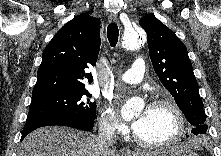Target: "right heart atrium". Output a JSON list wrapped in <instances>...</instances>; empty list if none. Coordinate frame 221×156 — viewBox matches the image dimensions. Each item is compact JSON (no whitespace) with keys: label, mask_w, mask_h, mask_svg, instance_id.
I'll return each mask as SVG.
<instances>
[{"label":"right heart atrium","mask_w":221,"mask_h":156,"mask_svg":"<svg viewBox=\"0 0 221 156\" xmlns=\"http://www.w3.org/2000/svg\"><path fill=\"white\" fill-rule=\"evenodd\" d=\"M99 128L103 134L108 136H116L126 132V127L109 107L104 108L100 113Z\"/></svg>","instance_id":"d8ad5b80"}]
</instances>
